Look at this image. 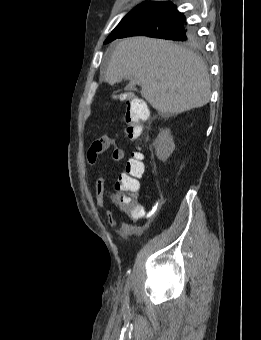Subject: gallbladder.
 Here are the masks:
<instances>
[{"label": "gallbladder", "mask_w": 261, "mask_h": 340, "mask_svg": "<svg viewBox=\"0 0 261 340\" xmlns=\"http://www.w3.org/2000/svg\"><path fill=\"white\" fill-rule=\"evenodd\" d=\"M135 84H137L136 80H131L130 81V85H135Z\"/></svg>", "instance_id": "bac80fb5"}]
</instances>
